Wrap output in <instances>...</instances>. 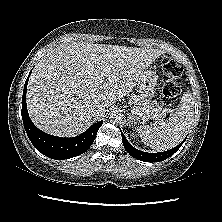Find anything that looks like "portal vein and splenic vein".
Instances as JSON below:
<instances>
[{
    "label": "portal vein and splenic vein",
    "mask_w": 222,
    "mask_h": 222,
    "mask_svg": "<svg viewBox=\"0 0 222 222\" xmlns=\"http://www.w3.org/2000/svg\"><path fill=\"white\" fill-rule=\"evenodd\" d=\"M165 110V112H173V110H171V109H164ZM135 113L137 114V115H140V116H144V114L143 113H141L140 111H137L136 109H135ZM145 117V116H144ZM161 119V117H156V120H160Z\"/></svg>",
    "instance_id": "1"
}]
</instances>
